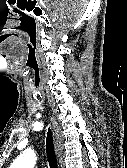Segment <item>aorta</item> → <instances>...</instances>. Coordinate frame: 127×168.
Returning a JSON list of instances; mask_svg holds the SVG:
<instances>
[{"label": "aorta", "mask_w": 127, "mask_h": 168, "mask_svg": "<svg viewBox=\"0 0 127 168\" xmlns=\"http://www.w3.org/2000/svg\"><path fill=\"white\" fill-rule=\"evenodd\" d=\"M36 163L35 154L32 150L24 151L11 165L10 168H34Z\"/></svg>", "instance_id": "1"}]
</instances>
